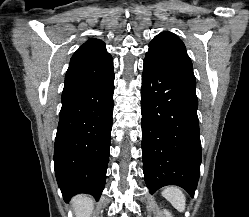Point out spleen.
<instances>
[{
  "label": "spleen",
  "instance_id": "spleen-1",
  "mask_svg": "<svg viewBox=\"0 0 249 217\" xmlns=\"http://www.w3.org/2000/svg\"><path fill=\"white\" fill-rule=\"evenodd\" d=\"M162 196L166 198L178 211H184L186 198L179 187L167 186L163 189Z\"/></svg>",
  "mask_w": 249,
  "mask_h": 217
}]
</instances>
